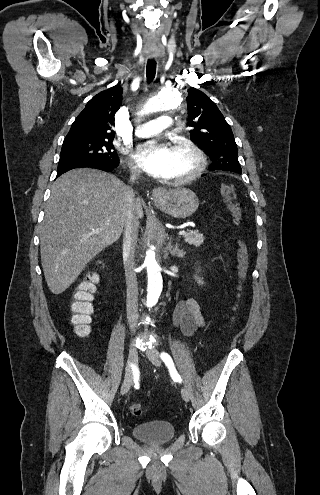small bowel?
Wrapping results in <instances>:
<instances>
[{"label": "small bowel", "instance_id": "c3829d8e", "mask_svg": "<svg viewBox=\"0 0 320 495\" xmlns=\"http://www.w3.org/2000/svg\"><path fill=\"white\" fill-rule=\"evenodd\" d=\"M173 321L188 337L194 336L197 329L208 326V321L201 313L198 302L191 297H187L177 304Z\"/></svg>", "mask_w": 320, "mask_h": 495}]
</instances>
